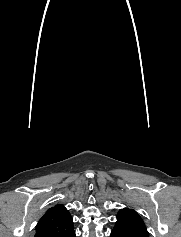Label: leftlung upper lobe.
<instances>
[{"instance_id":"left-lung-upper-lobe-1","label":"left lung upper lobe","mask_w":181,"mask_h":237,"mask_svg":"<svg viewBox=\"0 0 181 237\" xmlns=\"http://www.w3.org/2000/svg\"><path fill=\"white\" fill-rule=\"evenodd\" d=\"M113 231L120 233H137L149 237V233L143 219L133 209L124 208L118 212L117 222Z\"/></svg>"}]
</instances>
